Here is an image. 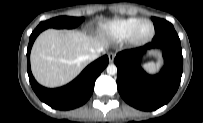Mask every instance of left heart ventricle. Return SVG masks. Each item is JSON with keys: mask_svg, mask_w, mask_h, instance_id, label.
Listing matches in <instances>:
<instances>
[{"mask_svg": "<svg viewBox=\"0 0 203 123\" xmlns=\"http://www.w3.org/2000/svg\"><path fill=\"white\" fill-rule=\"evenodd\" d=\"M152 32V26L150 23H144L138 30L139 38H147Z\"/></svg>", "mask_w": 203, "mask_h": 123, "instance_id": "1", "label": "left heart ventricle"}]
</instances>
